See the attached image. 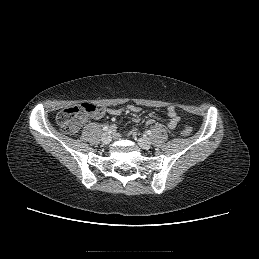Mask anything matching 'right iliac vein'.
Segmentation results:
<instances>
[{
	"label": "right iliac vein",
	"instance_id": "63e3f726",
	"mask_svg": "<svg viewBox=\"0 0 259 259\" xmlns=\"http://www.w3.org/2000/svg\"><path fill=\"white\" fill-rule=\"evenodd\" d=\"M101 140L104 144H109L111 142V135L105 132L102 134Z\"/></svg>",
	"mask_w": 259,
	"mask_h": 259
}]
</instances>
